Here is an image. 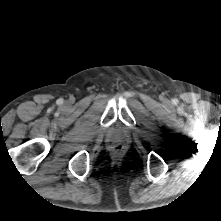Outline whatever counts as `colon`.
Here are the masks:
<instances>
[{"instance_id": "obj_1", "label": "colon", "mask_w": 221, "mask_h": 221, "mask_svg": "<svg viewBox=\"0 0 221 221\" xmlns=\"http://www.w3.org/2000/svg\"><path fill=\"white\" fill-rule=\"evenodd\" d=\"M122 149H123L122 145L117 144V145L113 146V151L116 153L121 152Z\"/></svg>"}]
</instances>
